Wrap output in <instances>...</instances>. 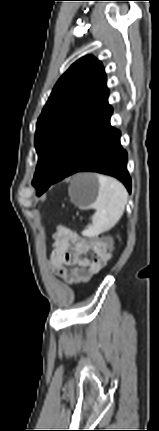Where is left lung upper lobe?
<instances>
[{"mask_svg": "<svg viewBox=\"0 0 159 431\" xmlns=\"http://www.w3.org/2000/svg\"><path fill=\"white\" fill-rule=\"evenodd\" d=\"M108 96L103 65L93 56L77 60L58 80L36 126L37 192L51 184L78 132L109 109Z\"/></svg>", "mask_w": 159, "mask_h": 431, "instance_id": "obj_1", "label": "left lung upper lobe"}]
</instances>
